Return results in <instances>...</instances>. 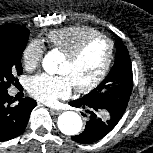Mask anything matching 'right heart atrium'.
<instances>
[{
  "instance_id": "right-heart-atrium-1",
  "label": "right heart atrium",
  "mask_w": 153,
  "mask_h": 153,
  "mask_svg": "<svg viewBox=\"0 0 153 153\" xmlns=\"http://www.w3.org/2000/svg\"><path fill=\"white\" fill-rule=\"evenodd\" d=\"M44 48L38 40L29 41L23 49L22 58L26 69L37 68L43 58Z\"/></svg>"
}]
</instances>
